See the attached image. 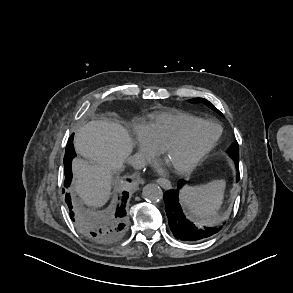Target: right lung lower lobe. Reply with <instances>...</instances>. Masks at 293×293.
<instances>
[{
    "label": "right lung lower lobe",
    "instance_id": "right-lung-lower-lobe-1",
    "mask_svg": "<svg viewBox=\"0 0 293 293\" xmlns=\"http://www.w3.org/2000/svg\"><path fill=\"white\" fill-rule=\"evenodd\" d=\"M76 156L73 147V134L68 140L66 146V152L64 157L65 168V181L64 186L68 187L72 179L71 162ZM128 198V193L124 192L122 197V203L117 208L114 215L109 218L96 217L90 215L78 216L77 224L85 235L91 240L101 244H112L121 240L128 228L125 204ZM65 201L68 204L70 210V217L73 221L76 220L74 212L72 210L71 198L69 194H66Z\"/></svg>",
    "mask_w": 293,
    "mask_h": 293
}]
</instances>
